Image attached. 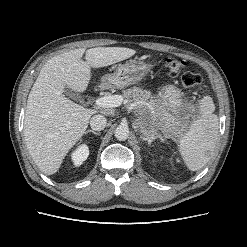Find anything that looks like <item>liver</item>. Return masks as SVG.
Instances as JSON below:
<instances>
[{
    "mask_svg": "<svg viewBox=\"0 0 247 247\" xmlns=\"http://www.w3.org/2000/svg\"><path fill=\"white\" fill-rule=\"evenodd\" d=\"M85 53L86 61L81 58ZM124 47L70 50L49 59L42 67L27 100L24 136L28 151L46 175L56 173L69 150L80 140L97 111L85 109L64 95L66 87L84 92L91 68L106 67L133 56Z\"/></svg>",
    "mask_w": 247,
    "mask_h": 247,
    "instance_id": "liver-1",
    "label": "liver"
}]
</instances>
